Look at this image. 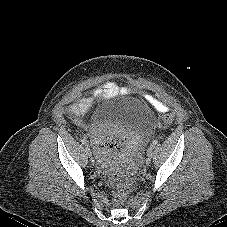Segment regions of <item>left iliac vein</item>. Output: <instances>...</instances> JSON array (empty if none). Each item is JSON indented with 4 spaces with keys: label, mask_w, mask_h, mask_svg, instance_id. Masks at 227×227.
Instances as JSON below:
<instances>
[{
    "label": "left iliac vein",
    "mask_w": 227,
    "mask_h": 227,
    "mask_svg": "<svg viewBox=\"0 0 227 227\" xmlns=\"http://www.w3.org/2000/svg\"><path fill=\"white\" fill-rule=\"evenodd\" d=\"M154 155V146H150L147 150V157L152 158Z\"/></svg>",
    "instance_id": "1"
}]
</instances>
